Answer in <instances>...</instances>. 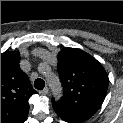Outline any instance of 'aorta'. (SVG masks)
Returning <instances> with one entry per match:
<instances>
[{
	"label": "aorta",
	"instance_id": "1",
	"mask_svg": "<svg viewBox=\"0 0 123 123\" xmlns=\"http://www.w3.org/2000/svg\"><path fill=\"white\" fill-rule=\"evenodd\" d=\"M48 84L54 96L56 98H60L62 94V87L58 76L52 74L48 75Z\"/></svg>",
	"mask_w": 123,
	"mask_h": 123
}]
</instances>
